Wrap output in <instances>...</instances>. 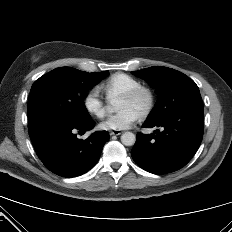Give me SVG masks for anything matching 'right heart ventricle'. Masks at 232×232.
<instances>
[{
    "mask_svg": "<svg viewBox=\"0 0 232 232\" xmlns=\"http://www.w3.org/2000/svg\"><path fill=\"white\" fill-rule=\"evenodd\" d=\"M141 85L142 82L134 76L115 73L102 83L101 88L108 99H113Z\"/></svg>",
    "mask_w": 232,
    "mask_h": 232,
    "instance_id": "1",
    "label": "right heart ventricle"
}]
</instances>
